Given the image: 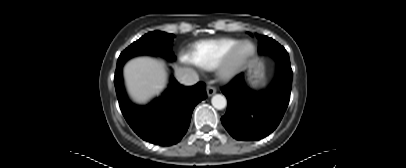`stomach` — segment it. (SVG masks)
<instances>
[{
  "label": "stomach",
  "instance_id": "0dacf381",
  "mask_svg": "<svg viewBox=\"0 0 406 168\" xmlns=\"http://www.w3.org/2000/svg\"><path fill=\"white\" fill-rule=\"evenodd\" d=\"M264 79V65L258 59L250 61L248 65L247 81L253 88H257Z\"/></svg>",
  "mask_w": 406,
  "mask_h": 168
}]
</instances>
